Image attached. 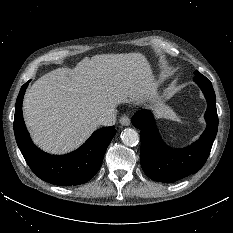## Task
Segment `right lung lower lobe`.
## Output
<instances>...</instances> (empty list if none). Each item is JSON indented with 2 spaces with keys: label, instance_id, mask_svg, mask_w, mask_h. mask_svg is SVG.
<instances>
[{
  "label": "right lung lower lobe",
  "instance_id": "obj_1",
  "mask_svg": "<svg viewBox=\"0 0 233 233\" xmlns=\"http://www.w3.org/2000/svg\"><path fill=\"white\" fill-rule=\"evenodd\" d=\"M29 82L19 92L14 116V134L23 157L31 170L48 183L60 186L86 183L102 163L105 151L116 134L114 126L95 131L79 149L67 155L44 153L31 141L23 120L22 101Z\"/></svg>",
  "mask_w": 233,
  "mask_h": 233
}]
</instances>
